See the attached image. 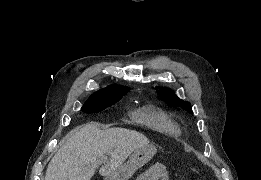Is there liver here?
Instances as JSON below:
<instances>
[{
    "mask_svg": "<svg viewBox=\"0 0 261 180\" xmlns=\"http://www.w3.org/2000/svg\"><path fill=\"white\" fill-rule=\"evenodd\" d=\"M148 144V138L135 130H101L95 122L85 124L70 132L50 160L45 180H91L100 164L101 176H109L134 150Z\"/></svg>",
    "mask_w": 261,
    "mask_h": 180,
    "instance_id": "liver-1",
    "label": "liver"
}]
</instances>
